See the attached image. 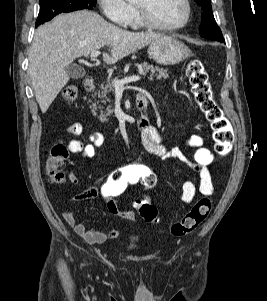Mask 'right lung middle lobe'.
Returning a JSON list of instances; mask_svg holds the SVG:
<instances>
[{
	"label": "right lung middle lobe",
	"mask_w": 267,
	"mask_h": 301,
	"mask_svg": "<svg viewBox=\"0 0 267 301\" xmlns=\"http://www.w3.org/2000/svg\"><path fill=\"white\" fill-rule=\"evenodd\" d=\"M39 3L40 12L36 21V27L51 20L59 13L93 9L96 5V0H40Z\"/></svg>",
	"instance_id": "dd1d6c3e"
}]
</instances>
